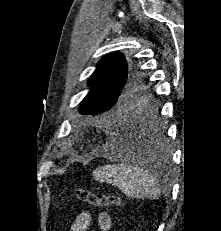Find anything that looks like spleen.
<instances>
[{
	"instance_id": "1",
	"label": "spleen",
	"mask_w": 221,
	"mask_h": 231,
	"mask_svg": "<svg viewBox=\"0 0 221 231\" xmlns=\"http://www.w3.org/2000/svg\"><path fill=\"white\" fill-rule=\"evenodd\" d=\"M93 175L100 182L117 186L131 198L157 199L161 194L155 177L127 160L99 167Z\"/></svg>"
}]
</instances>
